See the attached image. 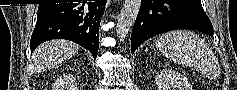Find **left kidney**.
Returning <instances> with one entry per match:
<instances>
[{"instance_id": "5707ae66", "label": "left kidney", "mask_w": 237, "mask_h": 90, "mask_svg": "<svg viewBox=\"0 0 237 90\" xmlns=\"http://www.w3.org/2000/svg\"><path fill=\"white\" fill-rule=\"evenodd\" d=\"M155 82L157 90H193L187 78L174 70H161L158 72Z\"/></svg>"}]
</instances>
